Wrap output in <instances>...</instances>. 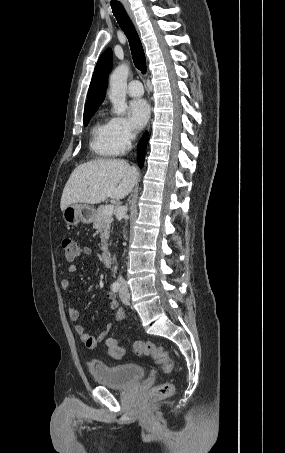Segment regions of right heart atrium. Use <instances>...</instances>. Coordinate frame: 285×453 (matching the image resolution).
I'll return each instance as SVG.
<instances>
[{"label":"right heart atrium","instance_id":"d8ad5b80","mask_svg":"<svg viewBox=\"0 0 285 453\" xmlns=\"http://www.w3.org/2000/svg\"><path fill=\"white\" fill-rule=\"evenodd\" d=\"M112 143L116 154L124 153L133 143L136 132L132 125L123 117L109 120Z\"/></svg>","mask_w":285,"mask_h":453}]
</instances>
